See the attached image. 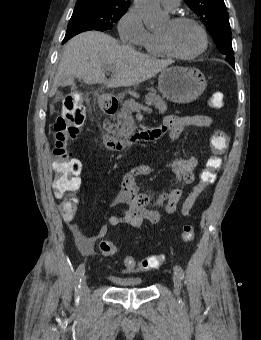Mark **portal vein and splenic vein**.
Wrapping results in <instances>:
<instances>
[{
    "label": "portal vein and splenic vein",
    "mask_w": 261,
    "mask_h": 340,
    "mask_svg": "<svg viewBox=\"0 0 261 340\" xmlns=\"http://www.w3.org/2000/svg\"><path fill=\"white\" fill-rule=\"evenodd\" d=\"M106 70L107 71H113L114 68L113 67H106ZM130 106L133 110L135 111H140V110H144V111H152L151 108L147 107V106H144V105H141L135 101H132L130 102Z\"/></svg>",
    "instance_id": "1"
}]
</instances>
